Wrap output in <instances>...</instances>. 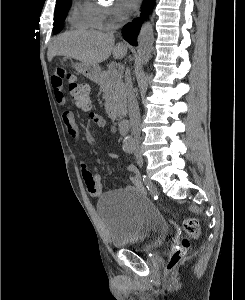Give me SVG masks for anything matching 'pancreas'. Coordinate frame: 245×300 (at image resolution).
<instances>
[{"label":"pancreas","instance_id":"1","mask_svg":"<svg viewBox=\"0 0 245 300\" xmlns=\"http://www.w3.org/2000/svg\"><path fill=\"white\" fill-rule=\"evenodd\" d=\"M122 77V71L108 70L102 72L98 80L106 101V113L112 120L126 112V91Z\"/></svg>","mask_w":245,"mask_h":300}]
</instances>
